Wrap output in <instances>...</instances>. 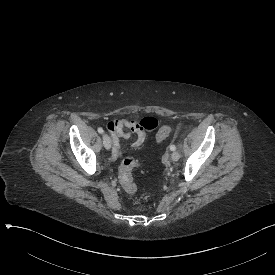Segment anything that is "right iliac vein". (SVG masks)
<instances>
[{"instance_id": "1", "label": "right iliac vein", "mask_w": 275, "mask_h": 275, "mask_svg": "<svg viewBox=\"0 0 275 275\" xmlns=\"http://www.w3.org/2000/svg\"><path fill=\"white\" fill-rule=\"evenodd\" d=\"M103 145L107 150L111 148V139L107 134L103 135Z\"/></svg>"}]
</instances>
